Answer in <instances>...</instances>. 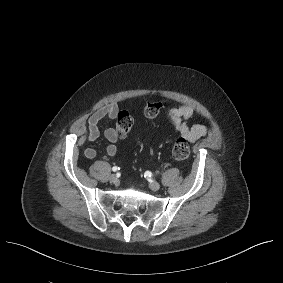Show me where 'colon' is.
<instances>
[{"label":"colon","instance_id":"obj_1","mask_svg":"<svg viewBox=\"0 0 283 283\" xmlns=\"http://www.w3.org/2000/svg\"><path fill=\"white\" fill-rule=\"evenodd\" d=\"M163 104L160 101L149 102L145 109L144 115L147 120H152L158 116L162 109ZM134 124L133 117L129 111H121L117 115L115 130L120 138L126 137ZM190 154V147L187 141L183 138L178 139L173 148L172 156L177 162H184L188 159Z\"/></svg>","mask_w":283,"mask_h":283}]
</instances>
